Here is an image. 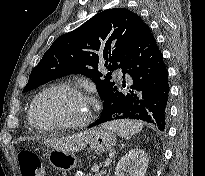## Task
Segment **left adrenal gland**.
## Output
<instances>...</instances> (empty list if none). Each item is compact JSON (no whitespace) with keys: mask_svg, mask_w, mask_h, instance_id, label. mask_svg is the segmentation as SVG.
<instances>
[{"mask_svg":"<svg viewBox=\"0 0 205 176\" xmlns=\"http://www.w3.org/2000/svg\"><path fill=\"white\" fill-rule=\"evenodd\" d=\"M110 175V170H109V173H108V175L107 176H109Z\"/></svg>","mask_w":205,"mask_h":176,"instance_id":"1","label":"left adrenal gland"}]
</instances>
